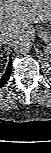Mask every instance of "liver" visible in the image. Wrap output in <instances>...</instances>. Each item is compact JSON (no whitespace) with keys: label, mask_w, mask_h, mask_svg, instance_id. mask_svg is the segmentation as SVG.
Listing matches in <instances>:
<instances>
[{"label":"liver","mask_w":51,"mask_h":153,"mask_svg":"<svg viewBox=\"0 0 51 153\" xmlns=\"http://www.w3.org/2000/svg\"><path fill=\"white\" fill-rule=\"evenodd\" d=\"M50 20L51 0H0V37L5 34L14 39L30 24Z\"/></svg>","instance_id":"liver-1"}]
</instances>
